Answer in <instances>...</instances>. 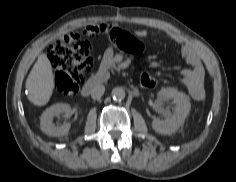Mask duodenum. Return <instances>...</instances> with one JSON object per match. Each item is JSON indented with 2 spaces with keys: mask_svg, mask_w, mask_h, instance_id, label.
I'll use <instances>...</instances> for the list:
<instances>
[{
  "mask_svg": "<svg viewBox=\"0 0 236 182\" xmlns=\"http://www.w3.org/2000/svg\"><path fill=\"white\" fill-rule=\"evenodd\" d=\"M107 78L105 71H101L100 74L92 76L82 87L81 94L83 96H88L94 88H96L100 83L104 82Z\"/></svg>",
  "mask_w": 236,
  "mask_h": 182,
  "instance_id": "1",
  "label": "duodenum"
}]
</instances>
